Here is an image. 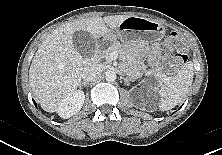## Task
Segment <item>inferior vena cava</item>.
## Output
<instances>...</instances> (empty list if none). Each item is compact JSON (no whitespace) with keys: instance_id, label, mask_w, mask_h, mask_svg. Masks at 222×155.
<instances>
[{"instance_id":"602c4592","label":"inferior vena cava","mask_w":222,"mask_h":155,"mask_svg":"<svg viewBox=\"0 0 222 155\" xmlns=\"http://www.w3.org/2000/svg\"><path fill=\"white\" fill-rule=\"evenodd\" d=\"M103 69L100 64H91L83 69L81 77L84 81H91L102 73Z\"/></svg>"}]
</instances>
